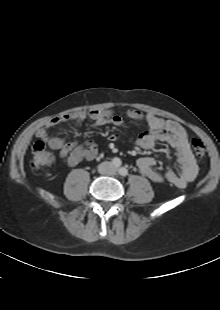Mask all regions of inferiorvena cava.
<instances>
[{
    "label": "inferior vena cava",
    "mask_w": 220,
    "mask_h": 310,
    "mask_svg": "<svg viewBox=\"0 0 220 310\" xmlns=\"http://www.w3.org/2000/svg\"><path fill=\"white\" fill-rule=\"evenodd\" d=\"M111 167H112V164L110 162H102L98 166V171L101 174H106V173H108V171L106 169H110Z\"/></svg>",
    "instance_id": "obj_1"
}]
</instances>
